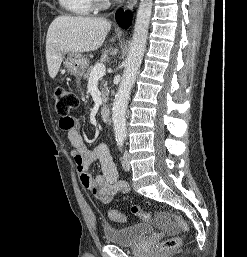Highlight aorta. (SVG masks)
<instances>
[{
    "mask_svg": "<svg viewBox=\"0 0 247 257\" xmlns=\"http://www.w3.org/2000/svg\"><path fill=\"white\" fill-rule=\"evenodd\" d=\"M152 7L153 0H140L124 73L112 108V121L117 140H124L126 137V110L145 52Z\"/></svg>",
    "mask_w": 247,
    "mask_h": 257,
    "instance_id": "aorta-1",
    "label": "aorta"
}]
</instances>
